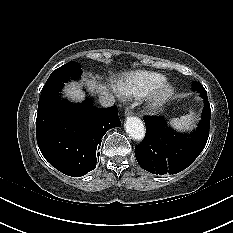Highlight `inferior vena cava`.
I'll use <instances>...</instances> for the list:
<instances>
[{
  "instance_id": "602c4592",
  "label": "inferior vena cava",
  "mask_w": 233,
  "mask_h": 233,
  "mask_svg": "<svg viewBox=\"0 0 233 233\" xmlns=\"http://www.w3.org/2000/svg\"><path fill=\"white\" fill-rule=\"evenodd\" d=\"M99 103L101 104L102 107H105V108L111 107L115 103L114 96L107 92L101 93L99 95Z\"/></svg>"
}]
</instances>
